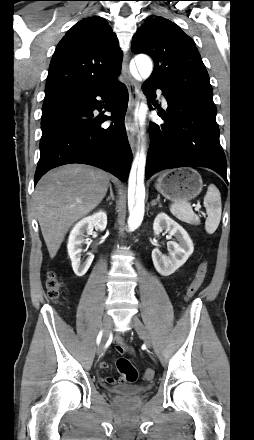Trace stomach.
Masks as SVG:
<instances>
[{
  "mask_svg": "<svg viewBox=\"0 0 254 440\" xmlns=\"http://www.w3.org/2000/svg\"><path fill=\"white\" fill-rule=\"evenodd\" d=\"M157 191L175 201H189L202 190L201 175L192 168H180L164 172L155 183Z\"/></svg>",
  "mask_w": 254,
  "mask_h": 440,
  "instance_id": "1",
  "label": "stomach"
}]
</instances>
